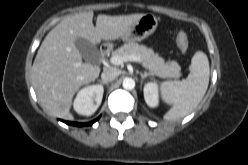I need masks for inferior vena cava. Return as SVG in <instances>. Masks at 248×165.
<instances>
[{"label":"inferior vena cava","instance_id":"inferior-vena-cava-1","mask_svg":"<svg viewBox=\"0 0 248 165\" xmlns=\"http://www.w3.org/2000/svg\"><path fill=\"white\" fill-rule=\"evenodd\" d=\"M119 74H120L119 70L105 69L101 74V78H102V81L111 82L114 79H116L119 76Z\"/></svg>","mask_w":248,"mask_h":165}]
</instances>
